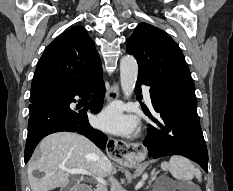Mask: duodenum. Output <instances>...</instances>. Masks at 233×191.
Returning a JSON list of instances; mask_svg holds the SVG:
<instances>
[{
  "instance_id": "obj_1",
  "label": "duodenum",
  "mask_w": 233,
  "mask_h": 191,
  "mask_svg": "<svg viewBox=\"0 0 233 191\" xmlns=\"http://www.w3.org/2000/svg\"><path fill=\"white\" fill-rule=\"evenodd\" d=\"M75 191H92L88 186L86 185H81V186H78Z\"/></svg>"
}]
</instances>
